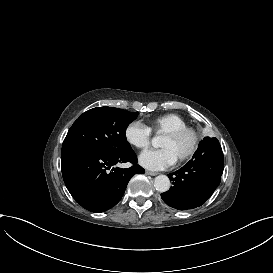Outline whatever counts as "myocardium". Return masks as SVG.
<instances>
[{
  "mask_svg": "<svg viewBox=\"0 0 273 273\" xmlns=\"http://www.w3.org/2000/svg\"><path fill=\"white\" fill-rule=\"evenodd\" d=\"M186 134L190 136V146L186 153L183 156H181L179 160H177L180 163L187 161L197 152L200 141L199 130L194 127L186 126L183 128L170 130L162 134L163 136L166 137H180Z\"/></svg>",
  "mask_w": 273,
  "mask_h": 273,
  "instance_id": "1",
  "label": "myocardium"
}]
</instances>
